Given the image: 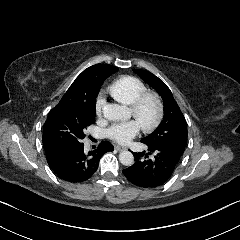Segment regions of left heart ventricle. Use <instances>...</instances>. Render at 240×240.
Here are the masks:
<instances>
[{
	"label": "left heart ventricle",
	"mask_w": 240,
	"mask_h": 240,
	"mask_svg": "<svg viewBox=\"0 0 240 240\" xmlns=\"http://www.w3.org/2000/svg\"><path fill=\"white\" fill-rule=\"evenodd\" d=\"M155 115H156L155 104L152 101L148 100L142 106L137 121L140 125L149 124L150 122L153 121Z\"/></svg>",
	"instance_id": "1"
}]
</instances>
